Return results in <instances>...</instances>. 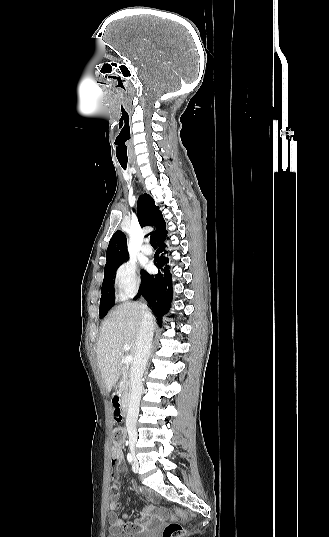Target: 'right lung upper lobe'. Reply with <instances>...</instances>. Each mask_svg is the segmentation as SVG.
Masks as SVG:
<instances>
[{"mask_svg":"<svg viewBox=\"0 0 329 537\" xmlns=\"http://www.w3.org/2000/svg\"><path fill=\"white\" fill-rule=\"evenodd\" d=\"M138 218L141 226H154L152 232L157 239L163 235L165 230V221L162 212L154 203L153 198L148 194L139 196L138 199ZM127 258V240L122 231H116L110 239L106 252L105 268L114 263L122 262Z\"/></svg>","mask_w":329,"mask_h":537,"instance_id":"1","label":"right lung upper lobe"}]
</instances>
